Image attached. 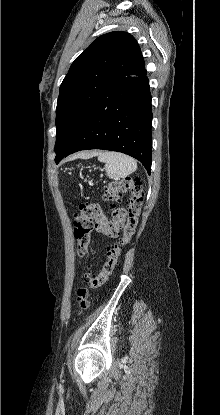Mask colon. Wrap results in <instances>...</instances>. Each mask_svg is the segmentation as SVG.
Masks as SVG:
<instances>
[{"mask_svg": "<svg viewBox=\"0 0 220 415\" xmlns=\"http://www.w3.org/2000/svg\"><path fill=\"white\" fill-rule=\"evenodd\" d=\"M126 192L131 193L127 209L116 205ZM105 199L113 204L110 218L103 214L98 204H82L73 225L76 250L81 257L90 256L93 253L91 235L94 229L114 239L107 250V258L101 271L96 275L88 273L86 275L87 286L77 289L76 301L81 309H87L90 306L89 289L101 288L113 275L123 248L130 242L135 232L143 204L141 180L124 178L111 182L106 189Z\"/></svg>", "mask_w": 220, "mask_h": 415, "instance_id": "5ec220e1", "label": "colon"}]
</instances>
